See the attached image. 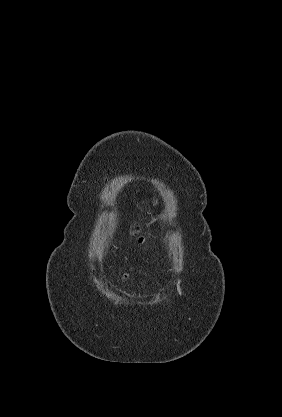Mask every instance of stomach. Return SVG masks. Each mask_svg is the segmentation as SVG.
<instances>
[{
	"instance_id": "stomach-1",
	"label": "stomach",
	"mask_w": 282,
	"mask_h": 417,
	"mask_svg": "<svg viewBox=\"0 0 282 417\" xmlns=\"http://www.w3.org/2000/svg\"><path fill=\"white\" fill-rule=\"evenodd\" d=\"M150 202H152V204H158V198H156V196H151Z\"/></svg>"
}]
</instances>
